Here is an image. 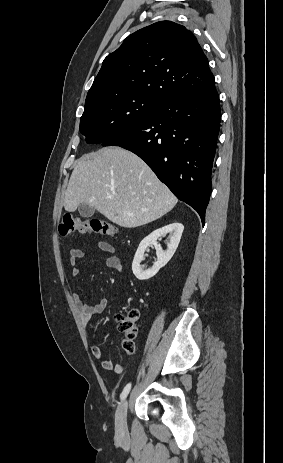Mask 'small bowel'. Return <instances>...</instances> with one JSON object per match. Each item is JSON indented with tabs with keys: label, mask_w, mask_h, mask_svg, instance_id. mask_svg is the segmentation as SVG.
<instances>
[{
	"label": "small bowel",
	"mask_w": 283,
	"mask_h": 463,
	"mask_svg": "<svg viewBox=\"0 0 283 463\" xmlns=\"http://www.w3.org/2000/svg\"><path fill=\"white\" fill-rule=\"evenodd\" d=\"M97 245H98V248L103 253L109 255L103 262L100 263V266H104V267H107V268H110L116 271H120L122 268V262H121V259L115 254V251H116L115 247L112 244L105 242V241H100L98 242ZM84 255H85V252L81 248H71L70 249L69 262L73 268L74 276H76L79 272L77 268L78 261L81 258H83ZM74 302L85 324H87L96 315H99L102 312H104L109 304L107 299H101L97 304L89 305L84 301L81 295L77 292L74 293ZM91 352H92L93 357L99 360L105 369L112 370L116 374H121L124 372V369H125L124 364L122 363L113 364V362L105 356L104 351L100 346L98 345L92 346Z\"/></svg>",
	"instance_id": "c3829d8e"
}]
</instances>
